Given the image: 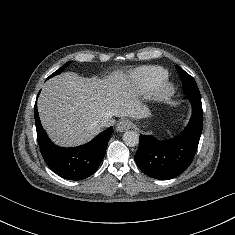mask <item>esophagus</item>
Masks as SVG:
<instances>
[{
    "mask_svg": "<svg viewBox=\"0 0 235 235\" xmlns=\"http://www.w3.org/2000/svg\"><path fill=\"white\" fill-rule=\"evenodd\" d=\"M131 126H132V123L129 120L123 119L120 122H118V124L116 125V130L118 132H125L129 130Z\"/></svg>",
    "mask_w": 235,
    "mask_h": 235,
    "instance_id": "1",
    "label": "esophagus"
}]
</instances>
